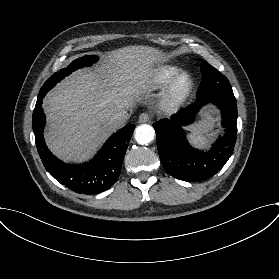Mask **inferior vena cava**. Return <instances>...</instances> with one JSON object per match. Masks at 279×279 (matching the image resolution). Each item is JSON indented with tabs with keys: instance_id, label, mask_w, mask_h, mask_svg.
I'll use <instances>...</instances> for the list:
<instances>
[{
	"instance_id": "inferior-vena-cava-1",
	"label": "inferior vena cava",
	"mask_w": 279,
	"mask_h": 279,
	"mask_svg": "<svg viewBox=\"0 0 279 279\" xmlns=\"http://www.w3.org/2000/svg\"><path fill=\"white\" fill-rule=\"evenodd\" d=\"M127 119H129V114L123 109L117 113L112 114L108 124L114 128H121L125 125Z\"/></svg>"
}]
</instances>
